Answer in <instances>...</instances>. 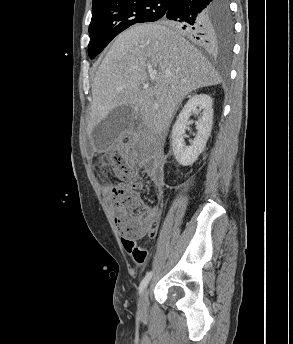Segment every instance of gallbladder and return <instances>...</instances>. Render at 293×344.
<instances>
[{"label": "gallbladder", "instance_id": "bac80fb5", "mask_svg": "<svg viewBox=\"0 0 293 344\" xmlns=\"http://www.w3.org/2000/svg\"><path fill=\"white\" fill-rule=\"evenodd\" d=\"M137 111L132 106L114 108L92 131V139L98 151L110 148L127 130L133 128Z\"/></svg>", "mask_w": 293, "mask_h": 344}]
</instances>
